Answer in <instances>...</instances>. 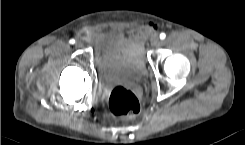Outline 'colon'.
<instances>
[{
    "label": "colon",
    "mask_w": 245,
    "mask_h": 145,
    "mask_svg": "<svg viewBox=\"0 0 245 145\" xmlns=\"http://www.w3.org/2000/svg\"><path fill=\"white\" fill-rule=\"evenodd\" d=\"M108 105L113 115L125 118L137 115L141 108L136 95L122 85H116L112 88Z\"/></svg>",
    "instance_id": "1"
}]
</instances>
